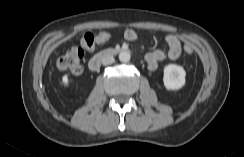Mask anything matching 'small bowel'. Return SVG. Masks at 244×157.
<instances>
[{
  "mask_svg": "<svg viewBox=\"0 0 244 157\" xmlns=\"http://www.w3.org/2000/svg\"><path fill=\"white\" fill-rule=\"evenodd\" d=\"M124 38L129 42L135 41L137 39V33L133 29H127L124 32ZM166 43L169 48L167 52L162 50H153L145 55V61L150 70H156L159 62L166 59L176 60L181 56L182 45L177 36L171 34L167 35Z\"/></svg>",
  "mask_w": 244,
  "mask_h": 157,
  "instance_id": "c3829d8e",
  "label": "small bowel"
}]
</instances>
